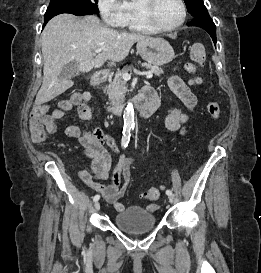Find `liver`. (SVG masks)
Returning a JSON list of instances; mask_svg holds the SVG:
<instances>
[{
	"instance_id": "obj_1",
	"label": "liver",
	"mask_w": 261,
	"mask_h": 273,
	"mask_svg": "<svg viewBox=\"0 0 261 273\" xmlns=\"http://www.w3.org/2000/svg\"><path fill=\"white\" fill-rule=\"evenodd\" d=\"M139 33L119 32L102 25L99 18L72 14L53 17L42 32L43 82L35 104L51 101L73 86L71 79H60L62 68L70 62L78 64V71L100 68L107 60H124L134 43L149 39ZM104 50L94 55L95 49Z\"/></svg>"
}]
</instances>
